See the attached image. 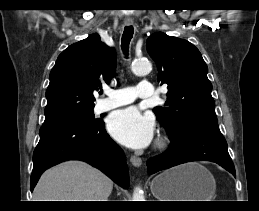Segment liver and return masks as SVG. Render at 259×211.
Here are the masks:
<instances>
[{
  "label": "liver",
  "instance_id": "liver-1",
  "mask_svg": "<svg viewBox=\"0 0 259 211\" xmlns=\"http://www.w3.org/2000/svg\"><path fill=\"white\" fill-rule=\"evenodd\" d=\"M113 181L81 161H67L40 177L33 201H108Z\"/></svg>",
  "mask_w": 259,
  "mask_h": 211
}]
</instances>
